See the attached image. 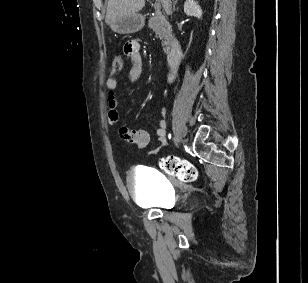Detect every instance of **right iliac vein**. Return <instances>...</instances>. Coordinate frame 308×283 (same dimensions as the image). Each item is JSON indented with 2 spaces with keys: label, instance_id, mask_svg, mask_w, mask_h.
I'll use <instances>...</instances> for the list:
<instances>
[{
  "label": "right iliac vein",
  "instance_id": "63e3f726",
  "mask_svg": "<svg viewBox=\"0 0 308 283\" xmlns=\"http://www.w3.org/2000/svg\"><path fill=\"white\" fill-rule=\"evenodd\" d=\"M178 140H179V139H178V136H176V137H175V141H178Z\"/></svg>",
  "mask_w": 308,
  "mask_h": 283
}]
</instances>
